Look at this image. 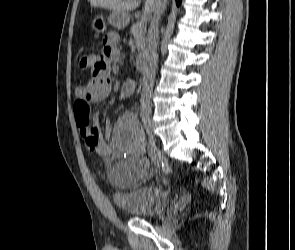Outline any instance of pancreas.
Listing matches in <instances>:
<instances>
[{"mask_svg": "<svg viewBox=\"0 0 295 250\" xmlns=\"http://www.w3.org/2000/svg\"><path fill=\"white\" fill-rule=\"evenodd\" d=\"M131 34L136 40V48L139 52L137 60H139L146 49V23L144 21H137L136 23L132 24Z\"/></svg>", "mask_w": 295, "mask_h": 250, "instance_id": "obj_1", "label": "pancreas"}]
</instances>
